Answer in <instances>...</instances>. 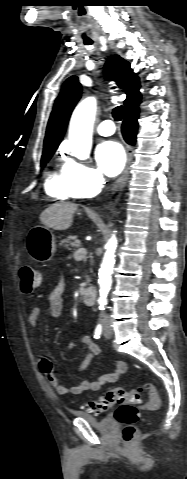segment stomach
<instances>
[{"label":"stomach","mask_w":187,"mask_h":479,"mask_svg":"<svg viewBox=\"0 0 187 479\" xmlns=\"http://www.w3.org/2000/svg\"><path fill=\"white\" fill-rule=\"evenodd\" d=\"M26 247L33 260L40 263L48 262L56 252L55 236L46 227H34L27 235Z\"/></svg>","instance_id":"obj_1"}]
</instances>
